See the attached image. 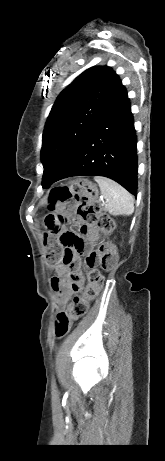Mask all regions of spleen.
Masks as SVG:
<instances>
[{
    "mask_svg": "<svg viewBox=\"0 0 165 461\" xmlns=\"http://www.w3.org/2000/svg\"><path fill=\"white\" fill-rule=\"evenodd\" d=\"M94 180L99 184L100 190L107 204L105 209L112 215H131L134 212L133 196L117 182L96 176Z\"/></svg>",
    "mask_w": 165,
    "mask_h": 461,
    "instance_id": "spleen-1",
    "label": "spleen"
}]
</instances>
